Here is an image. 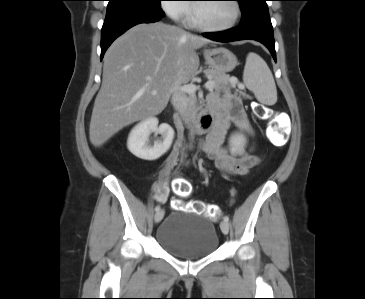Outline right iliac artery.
Masks as SVG:
<instances>
[{"mask_svg":"<svg viewBox=\"0 0 365 299\" xmlns=\"http://www.w3.org/2000/svg\"><path fill=\"white\" fill-rule=\"evenodd\" d=\"M160 210V206L159 205H157L156 207H155V211L157 212V211H159Z\"/></svg>","mask_w":365,"mask_h":299,"instance_id":"right-iliac-artery-1","label":"right iliac artery"}]
</instances>
